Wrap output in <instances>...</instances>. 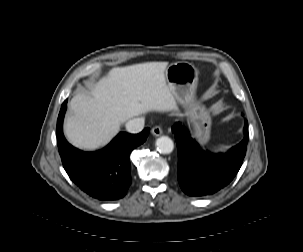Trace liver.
<instances>
[{"mask_svg":"<svg viewBox=\"0 0 303 252\" xmlns=\"http://www.w3.org/2000/svg\"><path fill=\"white\" fill-rule=\"evenodd\" d=\"M168 62H147L116 67L95 83L90 94L70 102L64 134L74 146L94 150L107 144L125 121L151 111H172L176 98L165 69Z\"/></svg>","mask_w":303,"mask_h":252,"instance_id":"1","label":"liver"}]
</instances>
